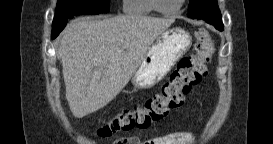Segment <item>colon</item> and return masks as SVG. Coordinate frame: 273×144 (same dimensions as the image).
I'll return each mask as SVG.
<instances>
[{"label":"colon","mask_w":273,"mask_h":144,"mask_svg":"<svg viewBox=\"0 0 273 144\" xmlns=\"http://www.w3.org/2000/svg\"><path fill=\"white\" fill-rule=\"evenodd\" d=\"M195 53L182 58L160 92L142 104L123 109L98 128V135L110 137L121 131L145 129L183 104L191 88L206 75L213 45L205 30L196 33Z\"/></svg>","instance_id":"5ec220e1"}]
</instances>
